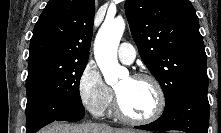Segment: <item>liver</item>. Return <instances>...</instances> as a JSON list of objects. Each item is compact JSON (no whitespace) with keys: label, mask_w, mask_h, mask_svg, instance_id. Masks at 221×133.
Here are the masks:
<instances>
[{"label":"liver","mask_w":221,"mask_h":133,"mask_svg":"<svg viewBox=\"0 0 221 133\" xmlns=\"http://www.w3.org/2000/svg\"><path fill=\"white\" fill-rule=\"evenodd\" d=\"M39 133H137L132 129H115L107 125L83 123L79 125L54 122Z\"/></svg>","instance_id":"obj_1"}]
</instances>
